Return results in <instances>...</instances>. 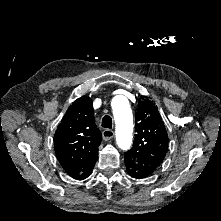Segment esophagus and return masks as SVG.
<instances>
[{
	"label": "esophagus",
	"instance_id": "esophagus-1",
	"mask_svg": "<svg viewBox=\"0 0 221 221\" xmlns=\"http://www.w3.org/2000/svg\"><path fill=\"white\" fill-rule=\"evenodd\" d=\"M102 135L104 140H110L114 137V131L111 129H106L103 131Z\"/></svg>",
	"mask_w": 221,
	"mask_h": 221
}]
</instances>
